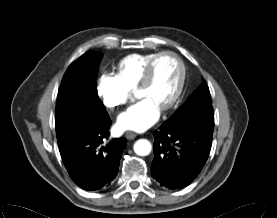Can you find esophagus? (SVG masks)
<instances>
[{"mask_svg": "<svg viewBox=\"0 0 277 218\" xmlns=\"http://www.w3.org/2000/svg\"><path fill=\"white\" fill-rule=\"evenodd\" d=\"M125 137L127 138V139H129V140H132V139H134L135 137H136V134L135 133H133V132H126L125 133Z\"/></svg>", "mask_w": 277, "mask_h": 218, "instance_id": "34e87169", "label": "esophagus"}]
</instances>
